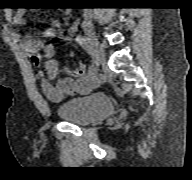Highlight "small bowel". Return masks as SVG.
Returning <instances> with one entry per match:
<instances>
[{"label":"small bowel","mask_w":192,"mask_h":180,"mask_svg":"<svg viewBox=\"0 0 192 180\" xmlns=\"http://www.w3.org/2000/svg\"><path fill=\"white\" fill-rule=\"evenodd\" d=\"M23 11L19 10L13 16L15 24L22 23ZM61 26L59 20H54L51 26L41 32V38H51L56 29ZM75 31V25L70 28V34ZM41 38L29 39L23 42L22 47L30 56L42 77V91L52 102H61L67 97L77 94H86L98 84V78L89 72L84 64L74 70H68L72 77L59 78L58 65L54 60L55 49L52 44H44Z\"/></svg>","instance_id":"1"}]
</instances>
